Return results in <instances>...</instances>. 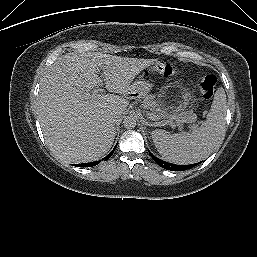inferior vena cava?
<instances>
[{
	"label": "inferior vena cava",
	"instance_id": "inferior-vena-cava-1",
	"mask_svg": "<svg viewBox=\"0 0 257 257\" xmlns=\"http://www.w3.org/2000/svg\"><path fill=\"white\" fill-rule=\"evenodd\" d=\"M120 118H121V115H120L119 113H117V112H115V113H113V114L111 115V120H112L113 122H117L118 120H120Z\"/></svg>",
	"mask_w": 257,
	"mask_h": 257
}]
</instances>
